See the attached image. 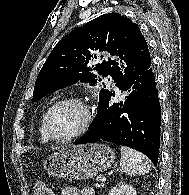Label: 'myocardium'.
I'll return each instance as SVG.
<instances>
[{
    "label": "myocardium",
    "mask_w": 189,
    "mask_h": 195,
    "mask_svg": "<svg viewBox=\"0 0 189 195\" xmlns=\"http://www.w3.org/2000/svg\"><path fill=\"white\" fill-rule=\"evenodd\" d=\"M65 104H76V105L81 106L85 111L86 118H85V121L82 127L77 132L69 136H66V137H58L54 135V133L52 132V129L50 126V120H51V116L54 113V111L58 107L65 105ZM93 120H94V112L92 110L91 105L87 101H85L83 98H80V97H67V98L58 100L47 110L44 116V129L50 140L55 141V142H61V143L70 142L84 135L90 129L93 123Z\"/></svg>",
    "instance_id": "1"
}]
</instances>
